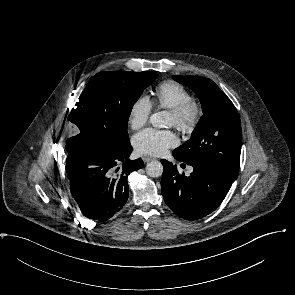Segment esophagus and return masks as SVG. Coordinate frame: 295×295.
Returning <instances> with one entry per match:
<instances>
[{"instance_id": "1", "label": "esophagus", "mask_w": 295, "mask_h": 295, "mask_svg": "<svg viewBox=\"0 0 295 295\" xmlns=\"http://www.w3.org/2000/svg\"><path fill=\"white\" fill-rule=\"evenodd\" d=\"M142 159H143V161H144L145 163L154 160L153 157H149V156H143Z\"/></svg>"}]
</instances>
